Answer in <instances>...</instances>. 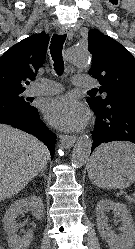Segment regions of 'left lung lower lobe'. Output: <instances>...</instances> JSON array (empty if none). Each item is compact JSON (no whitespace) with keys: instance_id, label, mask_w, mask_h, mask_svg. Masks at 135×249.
<instances>
[{"instance_id":"left-lung-lower-lobe-1","label":"left lung lower lobe","mask_w":135,"mask_h":249,"mask_svg":"<svg viewBox=\"0 0 135 249\" xmlns=\"http://www.w3.org/2000/svg\"><path fill=\"white\" fill-rule=\"evenodd\" d=\"M96 115L92 150L110 141L135 143V102L111 101L106 107L90 105Z\"/></svg>"}]
</instances>
